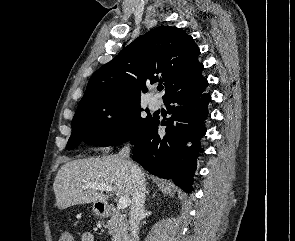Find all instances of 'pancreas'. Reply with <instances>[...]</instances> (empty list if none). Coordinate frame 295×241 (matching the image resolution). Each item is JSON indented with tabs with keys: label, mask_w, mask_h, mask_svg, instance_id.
I'll return each instance as SVG.
<instances>
[{
	"label": "pancreas",
	"mask_w": 295,
	"mask_h": 241,
	"mask_svg": "<svg viewBox=\"0 0 295 241\" xmlns=\"http://www.w3.org/2000/svg\"><path fill=\"white\" fill-rule=\"evenodd\" d=\"M111 218L106 224L108 233L112 235V241H123L128 233V223L124 214L117 209L110 213Z\"/></svg>",
	"instance_id": "cf45deb5"
}]
</instances>
